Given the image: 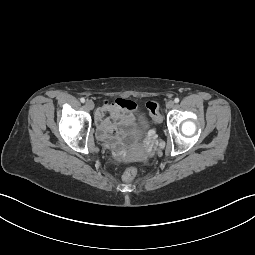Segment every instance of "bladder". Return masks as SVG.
I'll list each match as a JSON object with an SVG mask.
<instances>
[{
	"label": "bladder",
	"instance_id": "31cf9c89",
	"mask_svg": "<svg viewBox=\"0 0 255 255\" xmlns=\"http://www.w3.org/2000/svg\"><path fill=\"white\" fill-rule=\"evenodd\" d=\"M150 126L147 115L143 112L139 113L134 128L131 131V136L136 138L144 135Z\"/></svg>",
	"mask_w": 255,
	"mask_h": 255
}]
</instances>
